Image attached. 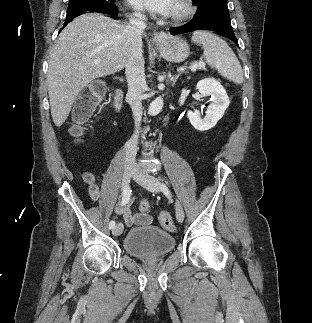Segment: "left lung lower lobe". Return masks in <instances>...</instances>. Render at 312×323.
<instances>
[{
  "instance_id": "1",
  "label": "left lung lower lobe",
  "mask_w": 312,
  "mask_h": 323,
  "mask_svg": "<svg viewBox=\"0 0 312 323\" xmlns=\"http://www.w3.org/2000/svg\"><path fill=\"white\" fill-rule=\"evenodd\" d=\"M195 30L214 31L219 35L231 39L236 44H238V40L231 27L230 17L227 16H215L200 22H189L180 27L170 28V32L172 34H183Z\"/></svg>"
}]
</instances>
